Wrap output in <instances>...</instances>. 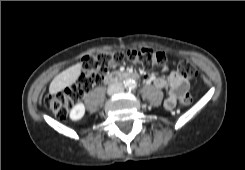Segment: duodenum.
<instances>
[{
	"mask_svg": "<svg viewBox=\"0 0 245 170\" xmlns=\"http://www.w3.org/2000/svg\"><path fill=\"white\" fill-rule=\"evenodd\" d=\"M123 79L140 80V75L137 73H109L105 76L104 80L107 83L116 82Z\"/></svg>",
	"mask_w": 245,
	"mask_h": 170,
	"instance_id": "1",
	"label": "duodenum"
}]
</instances>
